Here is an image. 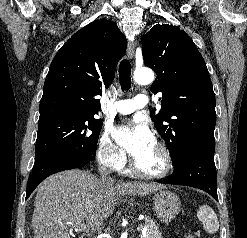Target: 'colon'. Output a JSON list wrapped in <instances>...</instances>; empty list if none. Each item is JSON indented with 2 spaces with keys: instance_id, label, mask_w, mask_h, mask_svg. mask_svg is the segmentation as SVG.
<instances>
[{
  "instance_id": "obj_1",
  "label": "colon",
  "mask_w": 247,
  "mask_h": 238,
  "mask_svg": "<svg viewBox=\"0 0 247 238\" xmlns=\"http://www.w3.org/2000/svg\"><path fill=\"white\" fill-rule=\"evenodd\" d=\"M185 238H196L194 235H187Z\"/></svg>"
}]
</instances>
